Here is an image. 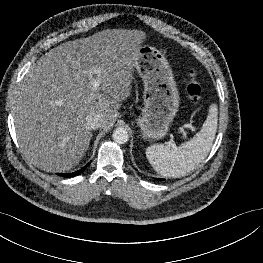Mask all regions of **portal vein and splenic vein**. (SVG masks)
Returning a JSON list of instances; mask_svg holds the SVG:
<instances>
[{"instance_id":"portal-vein-and-splenic-vein-1","label":"portal vein and splenic vein","mask_w":263,"mask_h":263,"mask_svg":"<svg viewBox=\"0 0 263 263\" xmlns=\"http://www.w3.org/2000/svg\"><path fill=\"white\" fill-rule=\"evenodd\" d=\"M89 74L97 75L96 79L94 80V82L92 84L93 90H97L99 88L100 84H101L100 71L97 70V69H93V70L89 71ZM168 144H169V146H172L173 148L177 147L175 142H174V140H173V138L170 139Z\"/></svg>"}]
</instances>
